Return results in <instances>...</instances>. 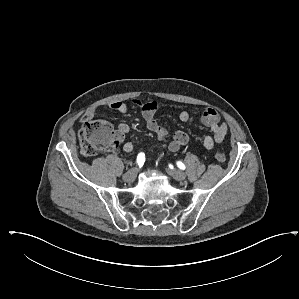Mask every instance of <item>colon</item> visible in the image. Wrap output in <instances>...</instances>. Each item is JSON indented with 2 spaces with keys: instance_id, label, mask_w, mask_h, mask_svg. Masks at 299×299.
Returning a JSON list of instances; mask_svg holds the SVG:
<instances>
[{
  "instance_id": "colon-1",
  "label": "colon",
  "mask_w": 299,
  "mask_h": 299,
  "mask_svg": "<svg viewBox=\"0 0 299 299\" xmlns=\"http://www.w3.org/2000/svg\"><path fill=\"white\" fill-rule=\"evenodd\" d=\"M117 135L110 122L104 119H91L84 122L79 131L80 152L85 157L94 156L99 152L112 150L116 145ZM220 163L226 156L220 151L214 154Z\"/></svg>"
}]
</instances>
